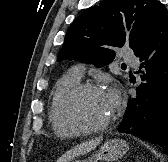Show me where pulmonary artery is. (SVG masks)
Instances as JSON below:
<instances>
[{"mask_svg":"<svg viewBox=\"0 0 168 162\" xmlns=\"http://www.w3.org/2000/svg\"><path fill=\"white\" fill-rule=\"evenodd\" d=\"M124 61L131 64L132 66H135V67L138 65V61L132 55H125L124 56ZM72 71L74 72V74L76 76L81 78L84 74V66L83 65H77L72 69Z\"/></svg>","mask_w":168,"mask_h":162,"instance_id":"pulmonary-artery-1","label":"pulmonary artery"}]
</instances>
